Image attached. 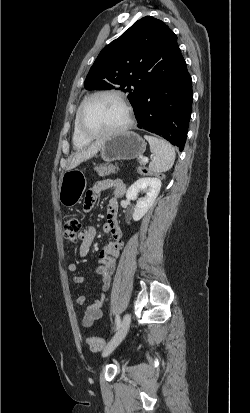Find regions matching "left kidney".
I'll list each match as a JSON object with an SVG mask.
<instances>
[{
  "mask_svg": "<svg viewBox=\"0 0 250 413\" xmlns=\"http://www.w3.org/2000/svg\"><path fill=\"white\" fill-rule=\"evenodd\" d=\"M161 188V180L155 177L140 178L134 182L126 192V198L129 200H137L134 208L133 220H140L153 205ZM144 192V197L138 198V193Z\"/></svg>",
  "mask_w": 250,
  "mask_h": 413,
  "instance_id": "left-kidney-1",
  "label": "left kidney"
}]
</instances>
